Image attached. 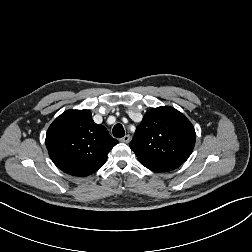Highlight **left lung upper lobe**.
I'll list each match as a JSON object with an SVG mask.
<instances>
[{"label":"left lung upper lobe","instance_id":"1","mask_svg":"<svg viewBox=\"0 0 252 252\" xmlns=\"http://www.w3.org/2000/svg\"><path fill=\"white\" fill-rule=\"evenodd\" d=\"M195 139L191 122L175 108L165 106L145 113L130 148L141 164L157 161L184 163L193 151Z\"/></svg>","mask_w":252,"mask_h":252}]
</instances>
